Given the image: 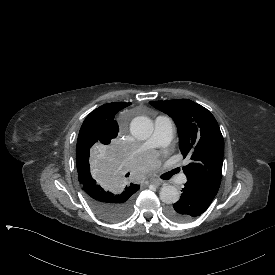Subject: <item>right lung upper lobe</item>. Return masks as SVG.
<instances>
[{
	"mask_svg": "<svg viewBox=\"0 0 275 275\" xmlns=\"http://www.w3.org/2000/svg\"><path fill=\"white\" fill-rule=\"evenodd\" d=\"M131 103H108L91 112L83 122L79 132V140L90 143L108 145L117 137L119 127L114 120L115 114ZM140 188L137 184H130L123 193L134 194Z\"/></svg>",
	"mask_w": 275,
	"mask_h": 275,
	"instance_id": "right-lung-upper-lobe-1",
	"label": "right lung upper lobe"
}]
</instances>
